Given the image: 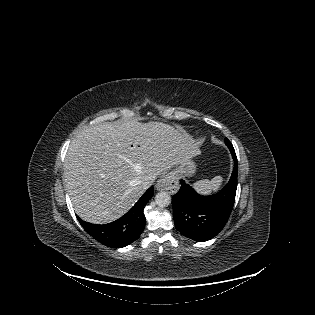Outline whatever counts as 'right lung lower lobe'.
Segmentation results:
<instances>
[{"label": "right lung lower lobe", "mask_w": 315, "mask_h": 315, "mask_svg": "<svg viewBox=\"0 0 315 315\" xmlns=\"http://www.w3.org/2000/svg\"><path fill=\"white\" fill-rule=\"evenodd\" d=\"M153 196V186H151L138 202L121 218L104 225H96L85 222L78 218L85 231L94 239L105 246L122 248L141 235L145 228L144 206Z\"/></svg>", "instance_id": "1"}]
</instances>
